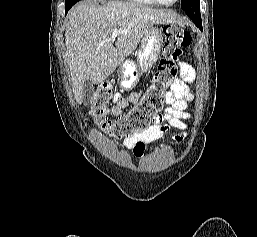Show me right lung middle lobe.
Returning a JSON list of instances; mask_svg holds the SVG:
<instances>
[{"label":"right lung middle lobe","mask_w":257,"mask_h":237,"mask_svg":"<svg viewBox=\"0 0 257 237\" xmlns=\"http://www.w3.org/2000/svg\"><path fill=\"white\" fill-rule=\"evenodd\" d=\"M78 1H80V0H65V9L71 8Z\"/></svg>","instance_id":"right-lung-middle-lobe-1"}]
</instances>
